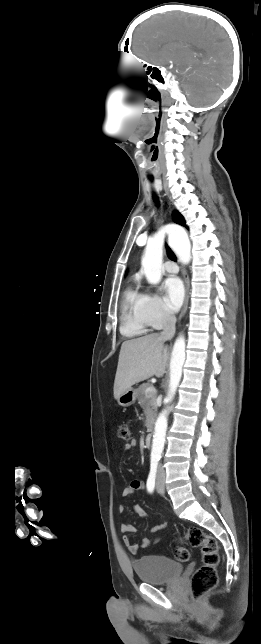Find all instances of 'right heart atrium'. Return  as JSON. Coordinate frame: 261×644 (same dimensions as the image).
Here are the masks:
<instances>
[{
  "mask_svg": "<svg viewBox=\"0 0 261 644\" xmlns=\"http://www.w3.org/2000/svg\"><path fill=\"white\" fill-rule=\"evenodd\" d=\"M144 308L153 328L159 329L173 322V316L166 310L161 297L153 291L144 294Z\"/></svg>",
  "mask_w": 261,
  "mask_h": 644,
  "instance_id": "obj_1",
  "label": "right heart atrium"
}]
</instances>
